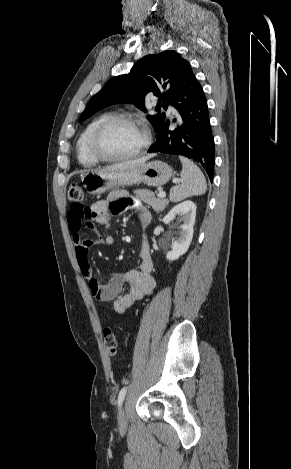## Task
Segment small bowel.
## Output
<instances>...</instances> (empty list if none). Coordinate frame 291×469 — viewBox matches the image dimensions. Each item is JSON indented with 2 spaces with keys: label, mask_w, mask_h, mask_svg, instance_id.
<instances>
[{
  "label": "small bowel",
  "mask_w": 291,
  "mask_h": 469,
  "mask_svg": "<svg viewBox=\"0 0 291 469\" xmlns=\"http://www.w3.org/2000/svg\"><path fill=\"white\" fill-rule=\"evenodd\" d=\"M130 210L136 211L140 227L145 230L151 221L150 213L121 190L113 191L106 199L93 203L88 208V213L83 214L73 207L67 216L68 227L73 235L77 263L81 274L88 282L91 294L99 301H112L113 309L118 314L126 313L136 301L150 295L156 287V279L152 274L153 262L149 242L146 237H143L138 268L125 273L112 272L108 275L107 282L101 283L93 276L88 257L89 251L98 245H112L114 237L106 234L97 236L95 239H85L83 231L91 229L93 222L108 230L111 215H119ZM125 284H128L129 290L123 293Z\"/></svg>",
  "instance_id": "c3829d8e"
}]
</instances>
